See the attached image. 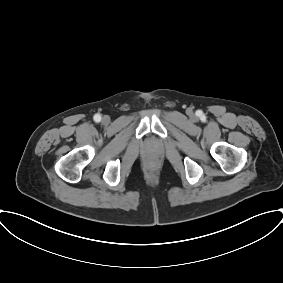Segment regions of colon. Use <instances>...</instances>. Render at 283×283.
I'll return each instance as SVG.
<instances>
[{
  "instance_id": "obj_1",
  "label": "colon",
  "mask_w": 283,
  "mask_h": 283,
  "mask_svg": "<svg viewBox=\"0 0 283 283\" xmlns=\"http://www.w3.org/2000/svg\"><path fill=\"white\" fill-rule=\"evenodd\" d=\"M152 162H153V163H155L156 161H155V160H153Z\"/></svg>"
}]
</instances>
